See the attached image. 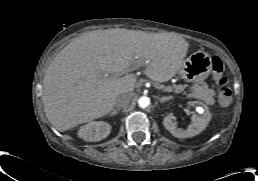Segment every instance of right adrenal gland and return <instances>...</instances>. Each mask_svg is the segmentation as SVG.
<instances>
[{
	"mask_svg": "<svg viewBox=\"0 0 258 181\" xmlns=\"http://www.w3.org/2000/svg\"><path fill=\"white\" fill-rule=\"evenodd\" d=\"M119 113V109H113L109 116H115Z\"/></svg>",
	"mask_w": 258,
	"mask_h": 181,
	"instance_id": "obj_1",
	"label": "right adrenal gland"
}]
</instances>
